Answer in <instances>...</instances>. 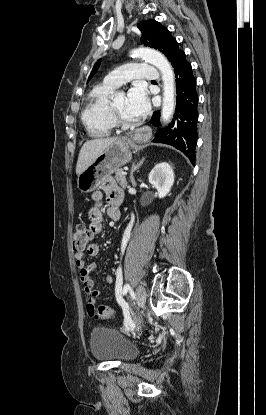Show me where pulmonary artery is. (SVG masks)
Wrapping results in <instances>:
<instances>
[{
	"instance_id": "pulmonary-artery-1",
	"label": "pulmonary artery",
	"mask_w": 266,
	"mask_h": 415,
	"mask_svg": "<svg viewBox=\"0 0 266 415\" xmlns=\"http://www.w3.org/2000/svg\"><path fill=\"white\" fill-rule=\"evenodd\" d=\"M133 78L148 81L157 80L159 79V72L154 66L147 63H131L109 73L104 82L118 87Z\"/></svg>"
}]
</instances>
